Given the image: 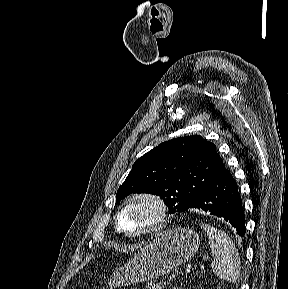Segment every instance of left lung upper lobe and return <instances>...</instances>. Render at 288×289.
<instances>
[{"label": "left lung upper lobe", "instance_id": "obj_1", "mask_svg": "<svg viewBox=\"0 0 288 289\" xmlns=\"http://www.w3.org/2000/svg\"><path fill=\"white\" fill-rule=\"evenodd\" d=\"M223 168L216 146L201 136L172 139L133 164L116 203L131 193H151L160 196L171 213L183 212Z\"/></svg>", "mask_w": 288, "mask_h": 289}]
</instances>
